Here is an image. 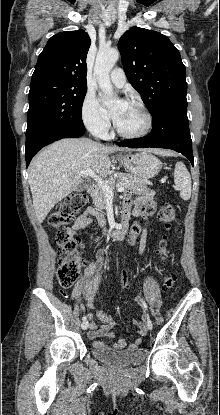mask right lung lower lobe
<instances>
[{
  "label": "right lung lower lobe",
  "instance_id": "1",
  "mask_svg": "<svg viewBox=\"0 0 220 415\" xmlns=\"http://www.w3.org/2000/svg\"><path fill=\"white\" fill-rule=\"evenodd\" d=\"M85 132V128H80L77 130H70V131H51V132H45L40 135H38L36 138H34L30 143L26 144V152H25V158H26V166L28 167L30 161L32 160L33 156L44 146L62 139V138H77L81 137Z\"/></svg>",
  "mask_w": 220,
  "mask_h": 415
}]
</instances>
